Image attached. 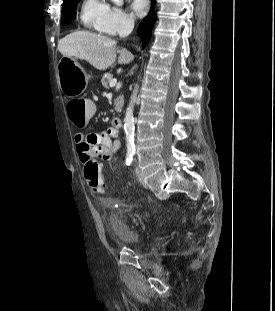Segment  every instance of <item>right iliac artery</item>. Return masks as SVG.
<instances>
[{
	"instance_id": "right-iliac-artery-1",
	"label": "right iliac artery",
	"mask_w": 275,
	"mask_h": 311,
	"mask_svg": "<svg viewBox=\"0 0 275 311\" xmlns=\"http://www.w3.org/2000/svg\"><path fill=\"white\" fill-rule=\"evenodd\" d=\"M132 160H133V154L132 153H128L127 156H126V164L130 165Z\"/></svg>"
}]
</instances>
